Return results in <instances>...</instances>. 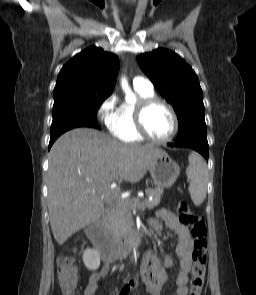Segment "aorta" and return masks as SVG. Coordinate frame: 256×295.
I'll return each instance as SVG.
<instances>
[{"label": "aorta", "instance_id": "aorta-1", "mask_svg": "<svg viewBox=\"0 0 256 295\" xmlns=\"http://www.w3.org/2000/svg\"><path fill=\"white\" fill-rule=\"evenodd\" d=\"M121 86L125 93V100L129 104L136 103V95L132 92L131 88L129 87L128 81L125 77L121 78Z\"/></svg>", "mask_w": 256, "mask_h": 295}]
</instances>
